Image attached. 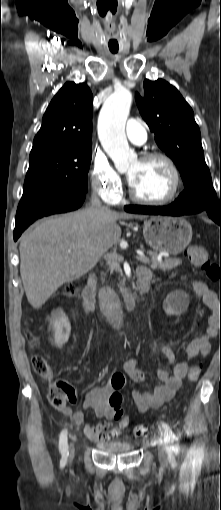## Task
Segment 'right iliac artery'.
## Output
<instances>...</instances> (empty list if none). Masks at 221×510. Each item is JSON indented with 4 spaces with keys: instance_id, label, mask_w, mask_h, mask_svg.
Instances as JSON below:
<instances>
[{
    "instance_id": "right-iliac-artery-1",
    "label": "right iliac artery",
    "mask_w": 221,
    "mask_h": 510,
    "mask_svg": "<svg viewBox=\"0 0 221 510\" xmlns=\"http://www.w3.org/2000/svg\"><path fill=\"white\" fill-rule=\"evenodd\" d=\"M59 450L65 458L68 456L69 452H68L67 430L66 429L62 430V432L60 433Z\"/></svg>"
}]
</instances>
